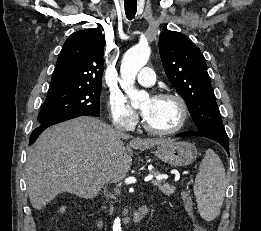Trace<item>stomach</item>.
I'll use <instances>...</instances> for the list:
<instances>
[{"label":"stomach","instance_id":"1","mask_svg":"<svg viewBox=\"0 0 261 231\" xmlns=\"http://www.w3.org/2000/svg\"><path fill=\"white\" fill-rule=\"evenodd\" d=\"M153 154L173 167H180L193 163L197 158L198 150L192 143L171 140L159 145Z\"/></svg>","mask_w":261,"mask_h":231}]
</instances>
